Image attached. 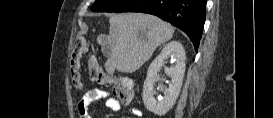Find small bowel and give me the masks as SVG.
<instances>
[{"instance_id":"c3829d8e","label":"small bowel","mask_w":273,"mask_h":118,"mask_svg":"<svg viewBox=\"0 0 273 118\" xmlns=\"http://www.w3.org/2000/svg\"><path fill=\"white\" fill-rule=\"evenodd\" d=\"M95 102L103 104L105 107L114 112L121 110V104L107 92L100 90H90L78 103L77 109L80 118H91L90 106ZM130 113L136 117L142 115L141 111L137 108H131Z\"/></svg>"}]
</instances>
